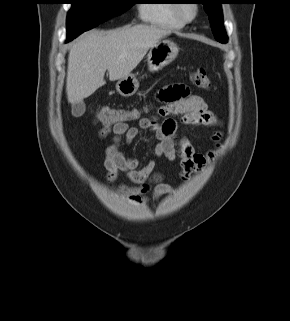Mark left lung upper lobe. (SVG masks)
Listing matches in <instances>:
<instances>
[{
	"instance_id": "1",
	"label": "left lung upper lobe",
	"mask_w": 290,
	"mask_h": 321,
	"mask_svg": "<svg viewBox=\"0 0 290 321\" xmlns=\"http://www.w3.org/2000/svg\"><path fill=\"white\" fill-rule=\"evenodd\" d=\"M205 11L209 16L212 32L217 41L227 42V35L223 26V14L220 4L221 0H201Z\"/></svg>"
}]
</instances>
